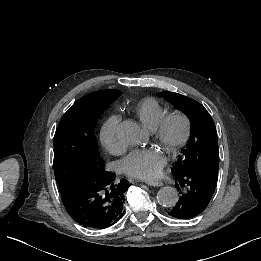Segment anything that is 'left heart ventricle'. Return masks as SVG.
<instances>
[{
  "label": "left heart ventricle",
  "mask_w": 261,
  "mask_h": 261,
  "mask_svg": "<svg viewBox=\"0 0 261 261\" xmlns=\"http://www.w3.org/2000/svg\"><path fill=\"white\" fill-rule=\"evenodd\" d=\"M144 130L146 131V133L148 134V137L150 138V132L148 130V128L144 127ZM181 132H182V126L180 123H173L170 127V131H169V138L171 141H176L180 135H181ZM148 138V140H149ZM147 140V141H148Z\"/></svg>",
  "instance_id": "left-heart-ventricle-1"
}]
</instances>
